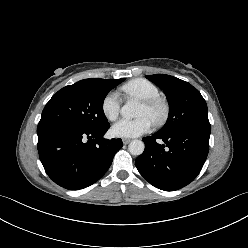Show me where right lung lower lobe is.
I'll return each instance as SVG.
<instances>
[{
  "instance_id": "obj_1",
  "label": "right lung lower lobe",
  "mask_w": 248,
  "mask_h": 248,
  "mask_svg": "<svg viewBox=\"0 0 248 248\" xmlns=\"http://www.w3.org/2000/svg\"><path fill=\"white\" fill-rule=\"evenodd\" d=\"M109 127L84 129L67 122L39 123V158L48 176L69 190L88 187L100 179L123 146L121 139L103 138Z\"/></svg>"
}]
</instances>
